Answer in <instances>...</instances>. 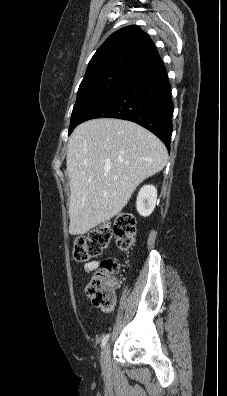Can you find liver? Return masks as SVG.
I'll list each match as a JSON object with an SVG mask.
<instances>
[{"instance_id": "6515ba94", "label": "liver", "mask_w": 227, "mask_h": 396, "mask_svg": "<svg viewBox=\"0 0 227 396\" xmlns=\"http://www.w3.org/2000/svg\"><path fill=\"white\" fill-rule=\"evenodd\" d=\"M164 144L136 123L100 118L78 125L68 141L71 235H83L117 215L136 187L160 172Z\"/></svg>"}]
</instances>
